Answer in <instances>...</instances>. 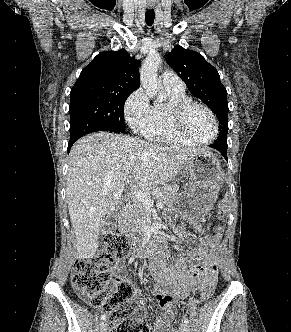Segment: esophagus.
I'll list each match as a JSON object with an SVG mask.
<instances>
[{
	"label": "esophagus",
	"mask_w": 291,
	"mask_h": 332,
	"mask_svg": "<svg viewBox=\"0 0 291 332\" xmlns=\"http://www.w3.org/2000/svg\"><path fill=\"white\" fill-rule=\"evenodd\" d=\"M148 6H149V8H152L154 6V4L153 3H149Z\"/></svg>",
	"instance_id": "esophagus-1"
}]
</instances>
